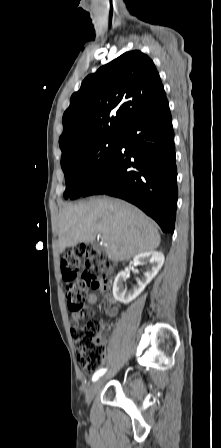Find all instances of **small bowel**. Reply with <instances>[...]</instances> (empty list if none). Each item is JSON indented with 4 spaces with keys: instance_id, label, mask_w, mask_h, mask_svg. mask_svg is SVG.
Returning <instances> with one entry per match:
<instances>
[{
    "instance_id": "1",
    "label": "small bowel",
    "mask_w": 221,
    "mask_h": 448,
    "mask_svg": "<svg viewBox=\"0 0 221 448\" xmlns=\"http://www.w3.org/2000/svg\"><path fill=\"white\" fill-rule=\"evenodd\" d=\"M99 290L104 294L103 301L99 304L100 310L106 315L112 317L116 314V308L113 306L114 300L111 294L108 291L106 286H101ZM87 301L90 305H94L98 301V297L95 293L89 294ZM83 313L73 312L72 313V322L74 325H77L81 318H83Z\"/></svg>"
}]
</instances>
